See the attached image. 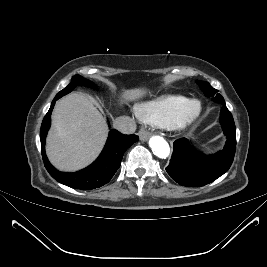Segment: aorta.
<instances>
[{"label":"aorta","instance_id":"762f6f07","mask_svg":"<svg viewBox=\"0 0 267 267\" xmlns=\"http://www.w3.org/2000/svg\"><path fill=\"white\" fill-rule=\"evenodd\" d=\"M149 145L154 155L161 159H165L170 154V147L167 141L160 136H153L149 140Z\"/></svg>","mask_w":267,"mask_h":267}]
</instances>
